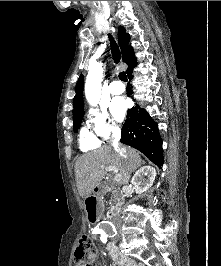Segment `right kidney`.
I'll list each match as a JSON object with an SVG mask.
<instances>
[{"label":"right kidney","instance_id":"right-kidney-1","mask_svg":"<svg viewBox=\"0 0 221 266\" xmlns=\"http://www.w3.org/2000/svg\"><path fill=\"white\" fill-rule=\"evenodd\" d=\"M156 170L151 166L141 167L133 176L132 183L137 193L147 191L154 183Z\"/></svg>","mask_w":221,"mask_h":266}]
</instances>
